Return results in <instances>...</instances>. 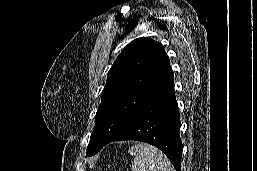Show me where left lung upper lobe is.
Instances as JSON below:
<instances>
[{
	"label": "left lung upper lobe",
	"mask_w": 257,
	"mask_h": 171,
	"mask_svg": "<svg viewBox=\"0 0 257 171\" xmlns=\"http://www.w3.org/2000/svg\"><path fill=\"white\" fill-rule=\"evenodd\" d=\"M172 69L161 43L131 41L110 68L86 154L118 135L159 91Z\"/></svg>",
	"instance_id": "5c2ea615"
}]
</instances>
